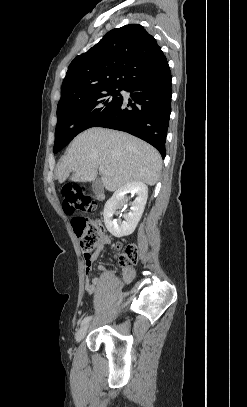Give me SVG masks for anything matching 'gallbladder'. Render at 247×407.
<instances>
[{
    "label": "gallbladder",
    "instance_id": "bac80fb5",
    "mask_svg": "<svg viewBox=\"0 0 247 407\" xmlns=\"http://www.w3.org/2000/svg\"><path fill=\"white\" fill-rule=\"evenodd\" d=\"M92 189L95 193H101L103 191V186L100 179H96L93 181Z\"/></svg>",
    "mask_w": 247,
    "mask_h": 407
}]
</instances>
